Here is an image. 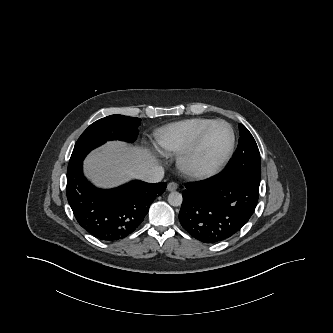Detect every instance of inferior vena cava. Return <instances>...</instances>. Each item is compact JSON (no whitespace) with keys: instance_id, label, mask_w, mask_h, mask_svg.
I'll use <instances>...</instances> for the list:
<instances>
[{"instance_id":"inferior-vena-cava-1","label":"inferior vena cava","mask_w":333,"mask_h":333,"mask_svg":"<svg viewBox=\"0 0 333 333\" xmlns=\"http://www.w3.org/2000/svg\"><path fill=\"white\" fill-rule=\"evenodd\" d=\"M164 176V169L161 166L153 165L137 175V178L148 182L157 183L162 180Z\"/></svg>"}]
</instances>
